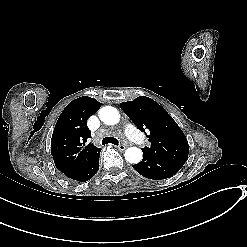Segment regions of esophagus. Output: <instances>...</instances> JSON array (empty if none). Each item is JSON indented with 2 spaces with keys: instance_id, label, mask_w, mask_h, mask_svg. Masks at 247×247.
Listing matches in <instances>:
<instances>
[{
  "instance_id": "34e87169",
  "label": "esophagus",
  "mask_w": 247,
  "mask_h": 247,
  "mask_svg": "<svg viewBox=\"0 0 247 247\" xmlns=\"http://www.w3.org/2000/svg\"><path fill=\"white\" fill-rule=\"evenodd\" d=\"M118 149L121 150V151H123V150L126 149V147L124 145H118Z\"/></svg>"
}]
</instances>
